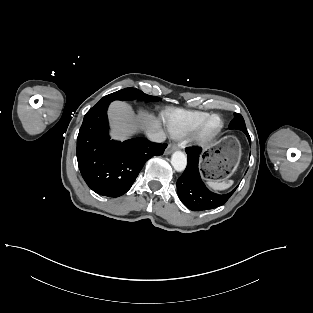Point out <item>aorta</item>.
Instances as JSON below:
<instances>
[{"mask_svg":"<svg viewBox=\"0 0 313 313\" xmlns=\"http://www.w3.org/2000/svg\"><path fill=\"white\" fill-rule=\"evenodd\" d=\"M171 164L177 172L184 171L187 165L186 155L181 151H175L171 157Z\"/></svg>","mask_w":313,"mask_h":313,"instance_id":"aorta-1","label":"aorta"}]
</instances>
